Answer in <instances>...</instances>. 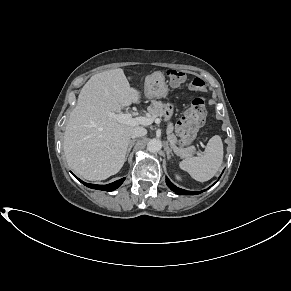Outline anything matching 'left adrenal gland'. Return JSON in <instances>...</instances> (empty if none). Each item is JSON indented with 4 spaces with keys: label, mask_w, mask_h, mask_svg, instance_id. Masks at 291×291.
Listing matches in <instances>:
<instances>
[{
    "label": "left adrenal gland",
    "mask_w": 291,
    "mask_h": 291,
    "mask_svg": "<svg viewBox=\"0 0 291 291\" xmlns=\"http://www.w3.org/2000/svg\"><path fill=\"white\" fill-rule=\"evenodd\" d=\"M165 150L167 153V158L170 159L171 155L173 156V152H172V147H170L167 142H166Z\"/></svg>",
    "instance_id": "1"
}]
</instances>
